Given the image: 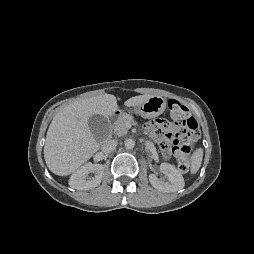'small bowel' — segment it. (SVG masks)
I'll return each mask as SVG.
<instances>
[{"mask_svg": "<svg viewBox=\"0 0 254 254\" xmlns=\"http://www.w3.org/2000/svg\"><path fill=\"white\" fill-rule=\"evenodd\" d=\"M146 128L151 133L153 139L159 143L163 155L169 157L171 152L168 146L169 136H167V133L174 131L178 126L170 125L164 120L157 119L148 123Z\"/></svg>", "mask_w": 254, "mask_h": 254, "instance_id": "small-bowel-1", "label": "small bowel"}]
</instances>
